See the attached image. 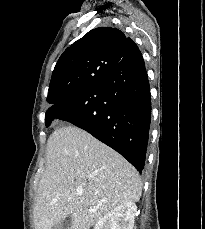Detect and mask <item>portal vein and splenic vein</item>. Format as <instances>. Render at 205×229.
I'll return each mask as SVG.
<instances>
[{
  "label": "portal vein and splenic vein",
  "mask_w": 205,
  "mask_h": 229,
  "mask_svg": "<svg viewBox=\"0 0 205 229\" xmlns=\"http://www.w3.org/2000/svg\"><path fill=\"white\" fill-rule=\"evenodd\" d=\"M77 194H78L79 196H81V195L83 194L82 190H78V191H77Z\"/></svg>",
  "instance_id": "portal-vein-and-splenic-vein-1"
}]
</instances>
